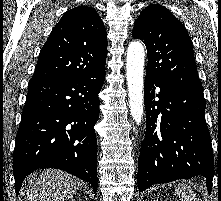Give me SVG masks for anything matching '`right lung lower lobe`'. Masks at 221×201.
I'll return each instance as SVG.
<instances>
[{
    "mask_svg": "<svg viewBox=\"0 0 221 201\" xmlns=\"http://www.w3.org/2000/svg\"><path fill=\"white\" fill-rule=\"evenodd\" d=\"M105 71L65 80H30L13 153L16 195L37 169L57 168L97 190L100 92Z\"/></svg>",
    "mask_w": 221,
    "mask_h": 201,
    "instance_id": "1",
    "label": "right lung lower lobe"
}]
</instances>
